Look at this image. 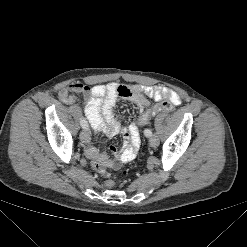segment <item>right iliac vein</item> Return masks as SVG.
I'll list each match as a JSON object with an SVG mask.
<instances>
[{
  "instance_id": "right-iliac-vein-1",
  "label": "right iliac vein",
  "mask_w": 247,
  "mask_h": 247,
  "mask_svg": "<svg viewBox=\"0 0 247 247\" xmlns=\"http://www.w3.org/2000/svg\"><path fill=\"white\" fill-rule=\"evenodd\" d=\"M80 140L83 142V143H89L91 138H90V133L87 129H83L81 132H80Z\"/></svg>"
}]
</instances>
